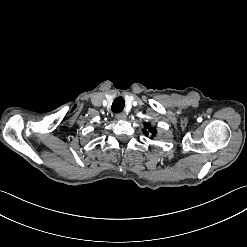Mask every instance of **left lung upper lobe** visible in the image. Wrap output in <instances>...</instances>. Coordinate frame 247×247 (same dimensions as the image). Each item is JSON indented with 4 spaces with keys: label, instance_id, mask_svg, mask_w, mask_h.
<instances>
[{
    "label": "left lung upper lobe",
    "instance_id": "left-lung-upper-lobe-1",
    "mask_svg": "<svg viewBox=\"0 0 247 247\" xmlns=\"http://www.w3.org/2000/svg\"><path fill=\"white\" fill-rule=\"evenodd\" d=\"M144 134L147 136L149 133H152L153 135L156 134V130L154 128H150V124H145V129H143Z\"/></svg>",
    "mask_w": 247,
    "mask_h": 247
}]
</instances>
